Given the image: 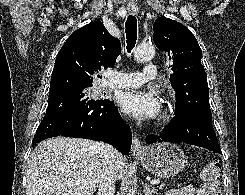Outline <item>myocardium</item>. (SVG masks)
Segmentation results:
<instances>
[{
  "label": "myocardium",
  "mask_w": 245,
  "mask_h": 195,
  "mask_svg": "<svg viewBox=\"0 0 245 195\" xmlns=\"http://www.w3.org/2000/svg\"><path fill=\"white\" fill-rule=\"evenodd\" d=\"M174 115L172 112H170L169 110H165L162 112L157 125L158 126H165L167 125L172 119H173Z\"/></svg>",
  "instance_id": "f54148a6"
}]
</instances>
